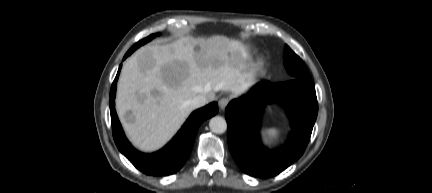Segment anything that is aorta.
<instances>
[{
  "label": "aorta",
  "instance_id": "1",
  "mask_svg": "<svg viewBox=\"0 0 432 193\" xmlns=\"http://www.w3.org/2000/svg\"><path fill=\"white\" fill-rule=\"evenodd\" d=\"M210 130L216 134H222L227 130V122L221 116H215L210 119Z\"/></svg>",
  "mask_w": 432,
  "mask_h": 193
}]
</instances>
